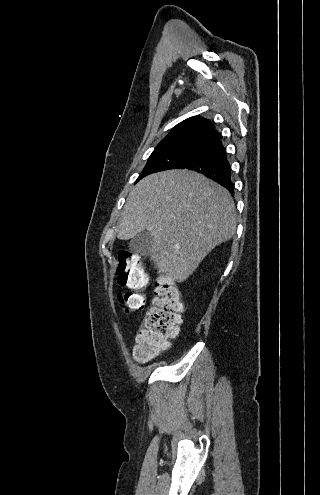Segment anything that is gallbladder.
Returning <instances> with one entry per match:
<instances>
[{
	"mask_svg": "<svg viewBox=\"0 0 320 495\" xmlns=\"http://www.w3.org/2000/svg\"><path fill=\"white\" fill-rule=\"evenodd\" d=\"M153 245V236L148 230H143L136 234V236L130 241L129 247L132 252L140 253L143 256H147Z\"/></svg>",
	"mask_w": 320,
	"mask_h": 495,
	"instance_id": "obj_1",
	"label": "gallbladder"
}]
</instances>
